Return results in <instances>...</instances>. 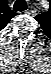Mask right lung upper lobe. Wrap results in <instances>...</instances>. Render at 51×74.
I'll list each match as a JSON object with an SVG mask.
<instances>
[{"mask_svg": "<svg viewBox=\"0 0 51 74\" xmlns=\"http://www.w3.org/2000/svg\"><path fill=\"white\" fill-rule=\"evenodd\" d=\"M15 15H16V13L12 12L10 9L7 10V17L5 19L3 26H5V24H7L9 22V20Z\"/></svg>", "mask_w": 51, "mask_h": 74, "instance_id": "1", "label": "right lung upper lobe"}]
</instances>
